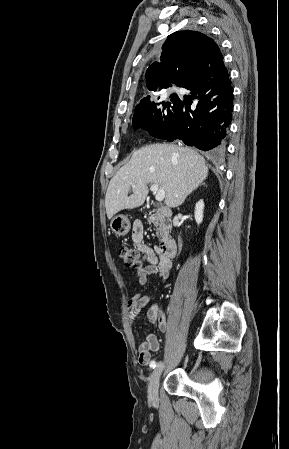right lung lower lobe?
I'll list each match as a JSON object with an SVG mask.
<instances>
[{"label":"right lung lower lobe","instance_id":"1","mask_svg":"<svg viewBox=\"0 0 289 449\" xmlns=\"http://www.w3.org/2000/svg\"><path fill=\"white\" fill-rule=\"evenodd\" d=\"M181 87L190 90L191 95L179 99L171 123L155 137L168 141L179 139L212 154L221 152L233 109V89L227 68L224 65L210 78ZM192 104L196 106L193 110Z\"/></svg>","mask_w":289,"mask_h":449}]
</instances>
